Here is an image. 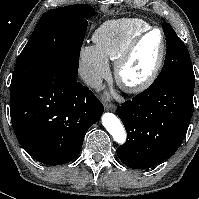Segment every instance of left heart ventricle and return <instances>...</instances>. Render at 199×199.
Segmentation results:
<instances>
[{
	"mask_svg": "<svg viewBox=\"0 0 199 199\" xmlns=\"http://www.w3.org/2000/svg\"><path fill=\"white\" fill-rule=\"evenodd\" d=\"M161 50V35L153 32L137 46L123 69V76L128 82H137L149 75Z\"/></svg>",
	"mask_w": 199,
	"mask_h": 199,
	"instance_id": "b2bd125f",
	"label": "left heart ventricle"
}]
</instances>
